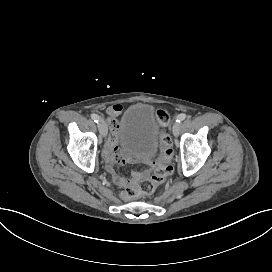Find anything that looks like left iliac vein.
<instances>
[{"label": "left iliac vein", "mask_w": 272, "mask_h": 272, "mask_svg": "<svg viewBox=\"0 0 272 272\" xmlns=\"http://www.w3.org/2000/svg\"><path fill=\"white\" fill-rule=\"evenodd\" d=\"M172 131H173L174 136H177L179 134V123L176 122L174 124Z\"/></svg>", "instance_id": "1"}]
</instances>
